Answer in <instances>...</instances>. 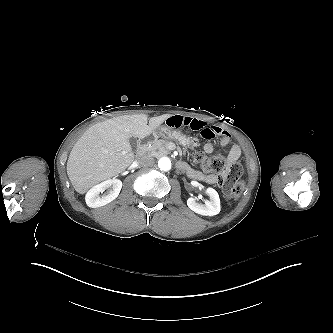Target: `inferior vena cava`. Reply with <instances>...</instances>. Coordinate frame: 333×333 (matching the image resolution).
<instances>
[{"mask_svg": "<svg viewBox=\"0 0 333 333\" xmlns=\"http://www.w3.org/2000/svg\"><path fill=\"white\" fill-rule=\"evenodd\" d=\"M137 162L141 166H153L155 163L154 158L147 156V155L139 158Z\"/></svg>", "mask_w": 333, "mask_h": 333, "instance_id": "inferior-vena-cava-1", "label": "inferior vena cava"}]
</instances>
